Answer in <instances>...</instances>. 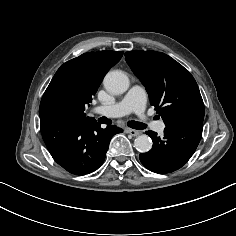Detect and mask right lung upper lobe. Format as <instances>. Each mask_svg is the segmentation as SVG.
<instances>
[{
	"label": "right lung upper lobe",
	"mask_w": 236,
	"mask_h": 236,
	"mask_svg": "<svg viewBox=\"0 0 236 236\" xmlns=\"http://www.w3.org/2000/svg\"><path fill=\"white\" fill-rule=\"evenodd\" d=\"M122 51H98L84 53L64 63L55 73L47 87L39 108L42 117L48 113H59L74 121L94 119L86 117L85 105L92 102L106 72L119 62ZM67 97L74 102L69 112L61 113L56 102Z\"/></svg>",
	"instance_id": "right-lung-upper-lobe-1"
}]
</instances>
